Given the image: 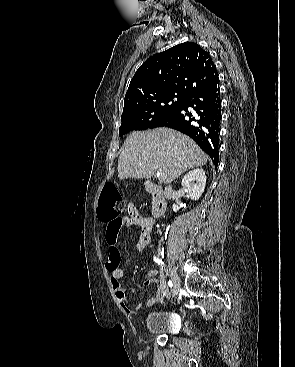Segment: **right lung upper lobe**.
Segmentation results:
<instances>
[{
	"label": "right lung upper lobe",
	"mask_w": 295,
	"mask_h": 367,
	"mask_svg": "<svg viewBox=\"0 0 295 367\" xmlns=\"http://www.w3.org/2000/svg\"><path fill=\"white\" fill-rule=\"evenodd\" d=\"M218 77L210 55L196 43L178 44L148 58L136 71L124 99L133 102L163 94L188 96Z\"/></svg>",
	"instance_id": "right-lung-upper-lobe-1"
}]
</instances>
